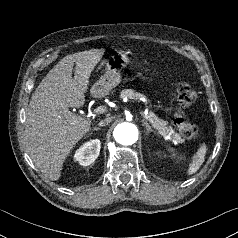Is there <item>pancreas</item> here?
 I'll return each instance as SVG.
<instances>
[{"instance_id":"cf45deb5","label":"pancreas","mask_w":238,"mask_h":238,"mask_svg":"<svg viewBox=\"0 0 238 238\" xmlns=\"http://www.w3.org/2000/svg\"><path fill=\"white\" fill-rule=\"evenodd\" d=\"M121 98H129L132 100H140L145 98V96L141 93L135 92L132 89H125L120 94ZM149 118L153 121L152 125L154 128L163 136H169L173 139V141L177 143H182L183 139L181 136L176 133L171 126H167L168 122L158 118L153 112L149 113Z\"/></svg>"}]
</instances>
